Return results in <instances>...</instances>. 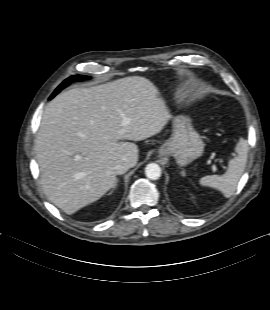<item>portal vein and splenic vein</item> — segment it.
Here are the masks:
<instances>
[{"label":"portal vein and splenic vein","instance_id":"portal-vein-and-splenic-vein-1","mask_svg":"<svg viewBox=\"0 0 270 310\" xmlns=\"http://www.w3.org/2000/svg\"><path fill=\"white\" fill-rule=\"evenodd\" d=\"M212 169L215 171V170H216V166H215V165H213V166H212Z\"/></svg>","mask_w":270,"mask_h":310}]
</instances>
